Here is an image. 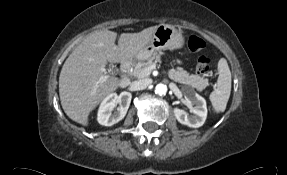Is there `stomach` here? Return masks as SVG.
I'll list each match as a JSON object with an SVG mask.
<instances>
[{"label": "stomach", "instance_id": "obj_1", "mask_svg": "<svg viewBox=\"0 0 287 175\" xmlns=\"http://www.w3.org/2000/svg\"><path fill=\"white\" fill-rule=\"evenodd\" d=\"M184 37L174 26L160 24L156 27L150 42L135 56L138 60L149 59L153 54L163 50L183 47Z\"/></svg>", "mask_w": 287, "mask_h": 175}]
</instances>
